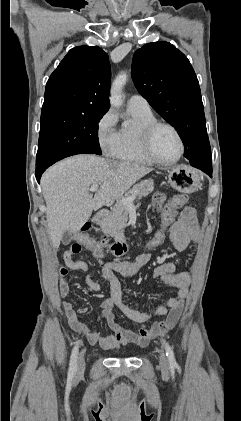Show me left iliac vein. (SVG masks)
Listing matches in <instances>:
<instances>
[{"label": "left iliac vein", "instance_id": "left-iliac-vein-1", "mask_svg": "<svg viewBox=\"0 0 241 421\" xmlns=\"http://www.w3.org/2000/svg\"><path fill=\"white\" fill-rule=\"evenodd\" d=\"M159 363H160L161 370L166 373L168 371V364H167L166 357L162 351H160Z\"/></svg>", "mask_w": 241, "mask_h": 421}]
</instances>
